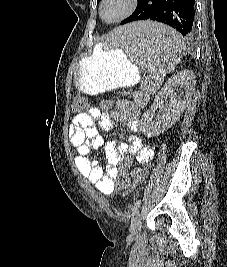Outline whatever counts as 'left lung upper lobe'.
Listing matches in <instances>:
<instances>
[{"mask_svg": "<svg viewBox=\"0 0 227 267\" xmlns=\"http://www.w3.org/2000/svg\"><path fill=\"white\" fill-rule=\"evenodd\" d=\"M100 2V0H97V3H99Z\"/></svg>", "mask_w": 227, "mask_h": 267, "instance_id": "1", "label": "left lung upper lobe"}]
</instances>
